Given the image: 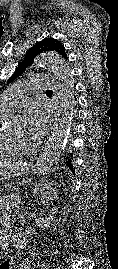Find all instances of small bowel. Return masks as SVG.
Returning a JSON list of instances; mask_svg holds the SVG:
<instances>
[{"mask_svg": "<svg viewBox=\"0 0 118 269\" xmlns=\"http://www.w3.org/2000/svg\"><path fill=\"white\" fill-rule=\"evenodd\" d=\"M10 212L8 204H0V249H6L10 245L17 249H25L27 240L24 236L13 231Z\"/></svg>", "mask_w": 118, "mask_h": 269, "instance_id": "small-bowel-1", "label": "small bowel"}]
</instances>
